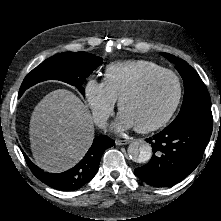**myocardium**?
I'll use <instances>...</instances> for the list:
<instances>
[{
    "label": "myocardium",
    "mask_w": 221,
    "mask_h": 221,
    "mask_svg": "<svg viewBox=\"0 0 221 221\" xmlns=\"http://www.w3.org/2000/svg\"><path fill=\"white\" fill-rule=\"evenodd\" d=\"M160 76H170L174 79L176 83V89H177L175 100L171 108L167 112V114L161 120L148 126H135V130L137 132H140V133L153 132V131L163 128L170 122V120L175 115L181 103V99L183 95V86H182L180 77L175 72L169 69H161V70L153 71L151 73H148L143 78H141L138 82H136L131 87L126 89L118 98V109L119 111H121L122 104L125 99L141 92L153 79L160 77Z\"/></svg>",
    "instance_id": "myocardium-1"
}]
</instances>
